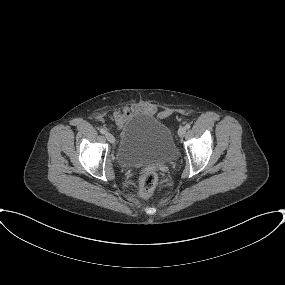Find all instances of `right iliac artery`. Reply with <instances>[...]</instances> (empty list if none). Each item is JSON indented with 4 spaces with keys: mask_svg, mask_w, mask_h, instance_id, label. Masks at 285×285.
<instances>
[{
    "mask_svg": "<svg viewBox=\"0 0 285 285\" xmlns=\"http://www.w3.org/2000/svg\"><path fill=\"white\" fill-rule=\"evenodd\" d=\"M100 133L105 134V133H106V130L103 129V128H101V129H100Z\"/></svg>",
    "mask_w": 285,
    "mask_h": 285,
    "instance_id": "obj_1",
    "label": "right iliac artery"
}]
</instances>
